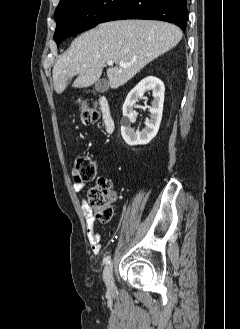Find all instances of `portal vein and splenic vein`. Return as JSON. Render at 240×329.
Here are the masks:
<instances>
[{"mask_svg": "<svg viewBox=\"0 0 240 329\" xmlns=\"http://www.w3.org/2000/svg\"><path fill=\"white\" fill-rule=\"evenodd\" d=\"M107 64H108L109 66H112V65H113V61H107ZM119 66H120L121 68H126V67H129L130 65H129V64H125V63H120Z\"/></svg>", "mask_w": 240, "mask_h": 329, "instance_id": "18ae733b", "label": "portal vein and splenic vein"}]
</instances>
